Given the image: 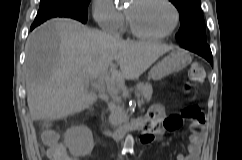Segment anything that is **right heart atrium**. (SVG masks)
<instances>
[{
    "label": "right heart atrium",
    "instance_id": "d8ad5b80",
    "mask_svg": "<svg viewBox=\"0 0 242 160\" xmlns=\"http://www.w3.org/2000/svg\"><path fill=\"white\" fill-rule=\"evenodd\" d=\"M92 15L99 27L108 34L116 35L124 27V15L112 0H93Z\"/></svg>",
    "mask_w": 242,
    "mask_h": 160
}]
</instances>
